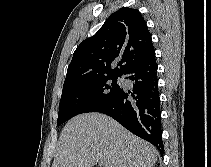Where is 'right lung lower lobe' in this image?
I'll return each mask as SVG.
<instances>
[{
    "instance_id": "98d812e1",
    "label": "right lung lower lobe",
    "mask_w": 211,
    "mask_h": 167,
    "mask_svg": "<svg viewBox=\"0 0 211 167\" xmlns=\"http://www.w3.org/2000/svg\"><path fill=\"white\" fill-rule=\"evenodd\" d=\"M156 72L155 56L133 66L124 74L133 81L132 91L123 89L108 105L96 112L111 116L129 131L153 144L163 154Z\"/></svg>"
}]
</instances>
